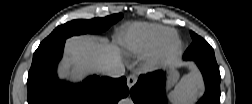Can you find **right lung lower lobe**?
Segmentation results:
<instances>
[{"instance_id":"1","label":"right lung lower lobe","mask_w":252,"mask_h":104,"mask_svg":"<svg viewBox=\"0 0 252 104\" xmlns=\"http://www.w3.org/2000/svg\"><path fill=\"white\" fill-rule=\"evenodd\" d=\"M65 41L38 47L28 73L29 104H116L128 96L126 78L90 76L82 83L60 81L57 66Z\"/></svg>"}]
</instances>
